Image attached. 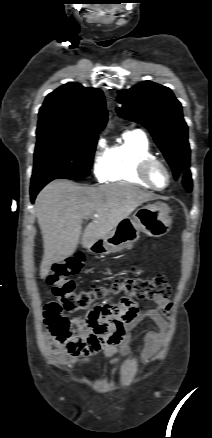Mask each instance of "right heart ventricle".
I'll return each mask as SVG.
<instances>
[{
	"mask_svg": "<svg viewBox=\"0 0 212 438\" xmlns=\"http://www.w3.org/2000/svg\"><path fill=\"white\" fill-rule=\"evenodd\" d=\"M146 157H155L147 136L141 130L126 132L120 143L106 151V170L103 180L150 188L136 173L138 164Z\"/></svg>",
	"mask_w": 212,
	"mask_h": 438,
	"instance_id": "1",
	"label": "right heart ventricle"
}]
</instances>
